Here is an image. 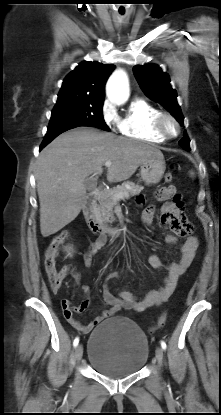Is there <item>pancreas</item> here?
I'll return each mask as SVG.
<instances>
[{
  "label": "pancreas",
  "instance_id": "pancreas-1",
  "mask_svg": "<svg viewBox=\"0 0 221 415\" xmlns=\"http://www.w3.org/2000/svg\"><path fill=\"white\" fill-rule=\"evenodd\" d=\"M143 187L133 182L127 181L122 185L110 190H103L98 198V204L94 209L95 218L103 224L113 223L116 219L114 217L113 208L119 203L121 198L115 196L116 193H127V197H132L139 194Z\"/></svg>",
  "mask_w": 221,
  "mask_h": 415
}]
</instances>
